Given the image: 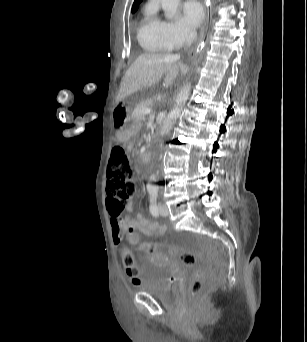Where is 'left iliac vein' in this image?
<instances>
[{
	"instance_id": "obj_1",
	"label": "left iliac vein",
	"mask_w": 307,
	"mask_h": 342,
	"mask_svg": "<svg viewBox=\"0 0 307 342\" xmlns=\"http://www.w3.org/2000/svg\"><path fill=\"white\" fill-rule=\"evenodd\" d=\"M159 213H160L162 216H167V215L169 214V211H168L167 206L164 205V204L159 205Z\"/></svg>"
}]
</instances>
